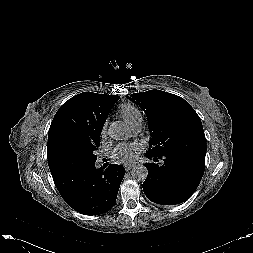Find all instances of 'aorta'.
I'll use <instances>...</instances> for the list:
<instances>
[{
    "mask_svg": "<svg viewBox=\"0 0 253 253\" xmlns=\"http://www.w3.org/2000/svg\"><path fill=\"white\" fill-rule=\"evenodd\" d=\"M108 135L116 141H122L130 137V130L127 124L114 122L109 126ZM131 174L136 181H144L147 178L148 170L145 166L140 165L134 167Z\"/></svg>",
    "mask_w": 253,
    "mask_h": 253,
    "instance_id": "762f6f07",
    "label": "aorta"
}]
</instances>
